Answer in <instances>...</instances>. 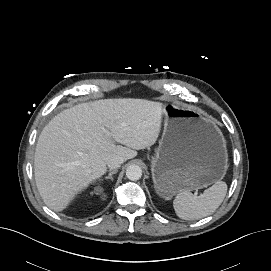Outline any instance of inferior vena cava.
Segmentation results:
<instances>
[{
  "label": "inferior vena cava",
  "mask_w": 271,
  "mask_h": 271,
  "mask_svg": "<svg viewBox=\"0 0 271 271\" xmlns=\"http://www.w3.org/2000/svg\"><path fill=\"white\" fill-rule=\"evenodd\" d=\"M124 158L121 156H114L112 158H110L107 162V166L110 169H117L121 166V164L124 162Z\"/></svg>",
  "instance_id": "1"
}]
</instances>
